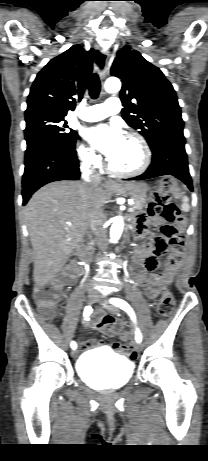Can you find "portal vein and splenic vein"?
<instances>
[{"mask_svg":"<svg viewBox=\"0 0 208 461\" xmlns=\"http://www.w3.org/2000/svg\"><path fill=\"white\" fill-rule=\"evenodd\" d=\"M128 204L130 205V207H129L128 210H129V211H133V207H132V206L134 205V202L128 201Z\"/></svg>","mask_w":208,"mask_h":461,"instance_id":"obj_1","label":"portal vein and splenic vein"}]
</instances>
